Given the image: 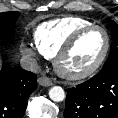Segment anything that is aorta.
<instances>
[{"label": "aorta", "instance_id": "1", "mask_svg": "<svg viewBox=\"0 0 118 118\" xmlns=\"http://www.w3.org/2000/svg\"><path fill=\"white\" fill-rule=\"evenodd\" d=\"M49 97L51 100L55 102H60L65 99V92L62 87L60 86H53L49 90Z\"/></svg>", "mask_w": 118, "mask_h": 118}]
</instances>
